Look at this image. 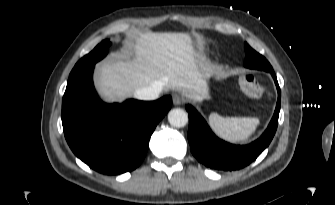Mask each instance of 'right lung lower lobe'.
<instances>
[{
	"label": "right lung lower lobe",
	"mask_w": 335,
	"mask_h": 205,
	"mask_svg": "<svg viewBox=\"0 0 335 205\" xmlns=\"http://www.w3.org/2000/svg\"><path fill=\"white\" fill-rule=\"evenodd\" d=\"M93 68L69 76L62 100L66 141L79 159L100 173L132 171L144 159L150 136L171 108L172 98L104 103L93 87Z\"/></svg>",
	"instance_id": "obj_1"
}]
</instances>
